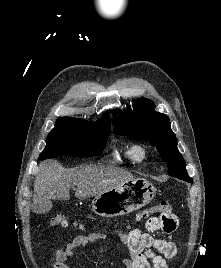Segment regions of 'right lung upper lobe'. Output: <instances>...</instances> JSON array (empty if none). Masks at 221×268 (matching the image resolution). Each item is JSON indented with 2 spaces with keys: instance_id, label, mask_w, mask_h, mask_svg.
Segmentation results:
<instances>
[{
  "instance_id": "cb5924a9",
  "label": "right lung upper lobe",
  "mask_w": 221,
  "mask_h": 268,
  "mask_svg": "<svg viewBox=\"0 0 221 268\" xmlns=\"http://www.w3.org/2000/svg\"><path fill=\"white\" fill-rule=\"evenodd\" d=\"M83 121H85V120H83ZM91 124H95V125H99V126H107V127H110V119H109V116L107 114H104L99 121H97L95 123H91Z\"/></svg>"
}]
</instances>
